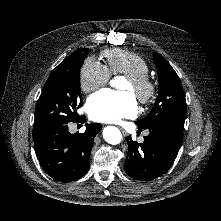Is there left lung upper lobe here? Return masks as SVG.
<instances>
[{
	"label": "left lung upper lobe",
	"instance_id": "5c2ea615",
	"mask_svg": "<svg viewBox=\"0 0 221 221\" xmlns=\"http://www.w3.org/2000/svg\"><path fill=\"white\" fill-rule=\"evenodd\" d=\"M153 59L158 69L159 95L150 113L135 122L142 129L166 119L186 117L185 93L178 75L159 53H154Z\"/></svg>",
	"mask_w": 221,
	"mask_h": 221
}]
</instances>
